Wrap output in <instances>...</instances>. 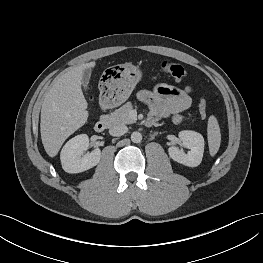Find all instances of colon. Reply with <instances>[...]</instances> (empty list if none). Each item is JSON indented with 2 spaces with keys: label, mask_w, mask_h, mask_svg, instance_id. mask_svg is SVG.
<instances>
[{
  "label": "colon",
  "mask_w": 263,
  "mask_h": 263,
  "mask_svg": "<svg viewBox=\"0 0 263 263\" xmlns=\"http://www.w3.org/2000/svg\"><path fill=\"white\" fill-rule=\"evenodd\" d=\"M161 70L164 74L172 77L175 80H183L186 77V71L185 69L172 61L165 60L161 63ZM199 112L202 117L206 116L207 112V105L206 101L201 98L199 101Z\"/></svg>",
  "instance_id": "5ec220e1"
}]
</instances>
